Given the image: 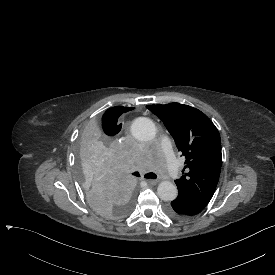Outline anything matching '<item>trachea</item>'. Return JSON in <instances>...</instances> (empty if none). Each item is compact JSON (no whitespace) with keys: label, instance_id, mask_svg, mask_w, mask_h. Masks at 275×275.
I'll use <instances>...</instances> for the list:
<instances>
[{"label":"trachea","instance_id":"obj_1","mask_svg":"<svg viewBox=\"0 0 275 275\" xmlns=\"http://www.w3.org/2000/svg\"><path fill=\"white\" fill-rule=\"evenodd\" d=\"M133 175H135V176H137V177L140 176V174H139L138 172H134ZM144 178H146V179H156V178H157V175L154 174V173H148V174H146V175L144 176Z\"/></svg>","mask_w":275,"mask_h":275}]
</instances>
